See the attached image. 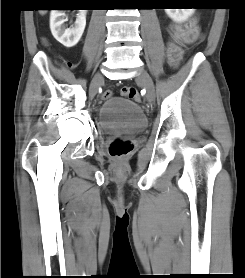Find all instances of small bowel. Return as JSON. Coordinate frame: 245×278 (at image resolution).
<instances>
[{"mask_svg": "<svg viewBox=\"0 0 245 278\" xmlns=\"http://www.w3.org/2000/svg\"><path fill=\"white\" fill-rule=\"evenodd\" d=\"M169 31L174 42L169 46V63L175 67L183 58V50L178 44L193 43L202 36V32L196 20H191L185 27L176 23L170 24Z\"/></svg>", "mask_w": 245, "mask_h": 278, "instance_id": "small-bowel-1", "label": "small bowel"}]
</instances>
